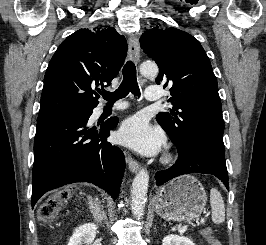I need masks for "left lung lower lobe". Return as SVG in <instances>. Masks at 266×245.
<instances>
[{
  "instance_id": "left-lung-lower-lobe-1",
  "label": "left lung lower lobe",
  "mask_w": 266,
  "mask_h": 245,
  "mask_svg": "<svg viewBox=\"0 0 266 245\" xmlns=\"http://www.w3.org/2000/svg\"><path fill=\"white\" fill-rule=\"evenodd\" d=\"M178 154L179 158L171 168L156 173L157 185L179 175L204 173L216 176L229 189L222 136L195 133L183 149H178Z\"/></svg>"
}]
</instances>
